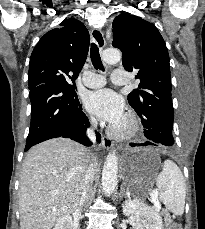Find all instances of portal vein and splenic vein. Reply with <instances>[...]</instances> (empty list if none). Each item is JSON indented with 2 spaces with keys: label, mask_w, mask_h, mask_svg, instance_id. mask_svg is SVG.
Here are the masks:
<instances>
[{
  "label": "portal vein and splenic vein",
  "mask_w": 205,
  "mask_h": 229,
  "mask_svg": "<svg viewBox=\"0 0 205 229\" xmlns=\"http://www.w3.org/2000/svg\"><path fill=\"white\" fill-rule=\"evenodd\" d=\"M152 201H153V203H154V205H155V208H156L157 210H160L161 206H160L159 201H158L155 197H152Z\"/></svg>",
  "instance_id": "obj_1"
}]
</instances>
